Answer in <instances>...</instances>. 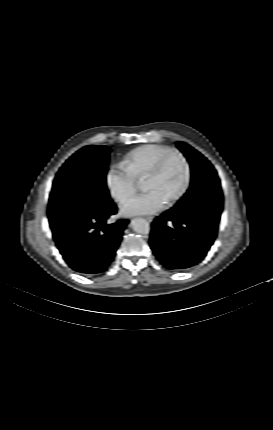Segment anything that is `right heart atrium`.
<instances>
[{
    "label": "right heart atrium",
    "instance_id": "obj_1",
    "mask_svg": "<svg viewBox=\"0 0 273 430\" xmlns=\"http://www.w3.org/2000/svg\"><path fill=\"white\" fill-rule=\"evenodd\" d=\"M110 195L120 204L131 198L137 190L138 181L123 164H112L105 176Z\"/></svg>",
    "mask_w": 273,
    "mask_h": 430
}]
</instances>
